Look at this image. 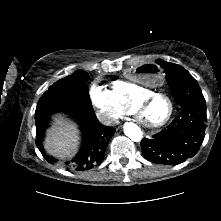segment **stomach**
<instances>
[{
    "label": "stomach",
    "mask_w": 221,
    "mask_h": 221,
    "mask_svg": "<svg viewBox=\"0 0 221 221\" xmlns=\"http://www.w3.org/2000/svg\"><path fill=\"white\" fill-rule=\"evenodd\" d=\"M165 73V66L159 60H152L143 65H134L128 71V78L134 84H144L147 87L156 86Z\"/></svg>",
    "instance_id": "0dacf381"
}]
</instances>
